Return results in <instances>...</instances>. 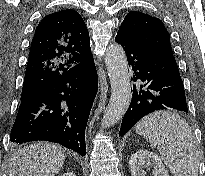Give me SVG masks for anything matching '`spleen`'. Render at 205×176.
<instances>
[{
	"label": "spleen",
	"mask_w": 205,
	"mask_h": 176,
	"mask_svg": "<svg viewBox=\"0 0 205 176\" xmlns=\"http://www.w3.org/2000/svg\"><path fill=\"white\" fill-rule=\"evenodd\" d=\"M157 149L174 176H198L200 154L195 135L185 119L172 111H157L135 127Z\"/></svg>",
	"instance_id": "obj_1"
}]
</instances>
